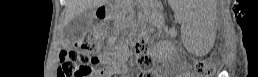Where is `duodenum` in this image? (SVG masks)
I'll use <instances>...</instances> for the list:
<instances>
[{
	"label": "duodenum",
	"mask_w": 258,
	"mask_h": 77,
	"mask_svg": "<svg viewBox=\"0 0 258 77\" xmlns=\"http://www.w3.org/2000/svg\"><path fill=\"white\" fill-rule=\"evenodd\" d=\"M104 12H105V9L104 7H102V9H100V13L104 14Z\"/></svg>",
	"instance_id": "duodenum-1"
}]
</instances>
